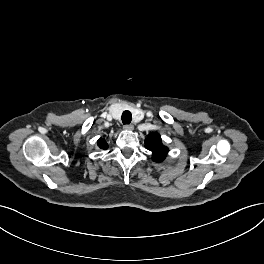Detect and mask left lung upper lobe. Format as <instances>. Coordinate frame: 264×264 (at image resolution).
Returning <instances> with one entry per match:
<instances>
[{
	"instance_id": "left-lung-upper-lobe-1",
	"label": "left lung upper lobe",
	"mask_w": 264,
	"mask_h": 264,
	"mask_svg": "<svg viewBox=\"0 0 264 264\" xmlns=\"http://www.w3.org/2000/svg\"><path fill=\"white\" fill-rule=\"evenodd\" d=\"M145 148L153 153V160L161 162L165 159L168 148L161 142V136L158 133H150L145 139Z\"/></svg>"
}]
</instances>
